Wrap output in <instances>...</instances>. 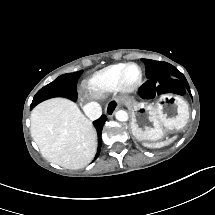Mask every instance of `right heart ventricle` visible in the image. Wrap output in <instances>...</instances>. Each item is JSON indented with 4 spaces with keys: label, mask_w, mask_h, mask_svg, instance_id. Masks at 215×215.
Returning a JSON list of instances; mask_svg holds the SVG:
<instances>
[{
    "label": "right heart ventricle",
    "mask_w": 215,
    "mask_h": 215,
    "mask_svg": "<svg viewBox=\"0 0 215 215\" xmlns=\"http://www.w3.org/2000/svg\"><path fill=\"white\" fill-rule=\"evenodd\" d=\"M122 65V63H118L103 68L102 70L94 73L88 80V83L100 88H109L112 85L115 76L122 71ZM87 113L91 116H96L99 114V111L91 109L87 111Z\"/></svg>",
    "instance_id": "right-heart-ventricle-1"
}]
</instances>
